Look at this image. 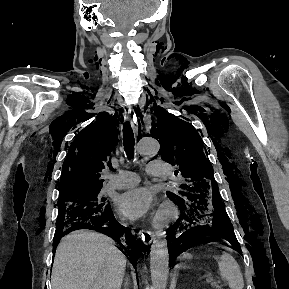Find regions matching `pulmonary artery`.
<instances>
[{
  "instance_id": "obj_1",
  "label": "pulmonary artery",
  "mask_w": 289,
  "mask_h": 289,
  "mask_svg": "<svg viewBox=\"0 0 289 289\" xmlns=\"http://www.w3.org/2000/svg\"><path fill=\"white\" fill-rule=\"evenodd\" d=\"M168 171L169 166L163 161H151L147 167V172L152 177H166ZM138 182V174L131 171H119L117 174L108 176V186L115 189L134 187Z\"/></svg>"
}]
</instances>
